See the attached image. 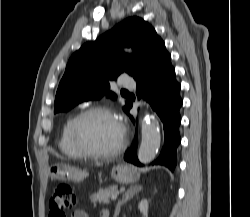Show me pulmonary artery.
Instances as JSON below:
<instances>
[{
	"instance_id": "obj_1",
	"label": "pulmonary artery",
	"mask_w": 250,
	"mask_h": 217,
	"mask_svg": "<svg viewBox=\"0 0 250 217\" xmlns=\"http://www.w3.org/2000/svg\"><path fill=\"white\" fill-rule=\"evenodd\" d=\"M121 86L124 88H128V89H134L136 86V83L134 80H131V79H123L121 80Z\"/></svg>"
}]
</instances>
